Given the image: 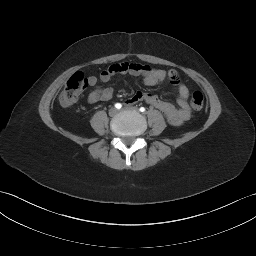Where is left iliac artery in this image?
Segmentation results:
<instances>
[{"mask_svg": "<svg viewBox=\"0 0 256 256\" xmlns=\"http://www.w3.org/2000/svg\"><path fill=\"white\" fill-rule=\"evenodd\" d=\"M139 110H140L141 112H145V108H144V107H141Z\"/></svg>", "mask_w": 256, "mask_h": 256, "instance_id": "44dca946", "label": "left iliac artery"}]
</instances>
